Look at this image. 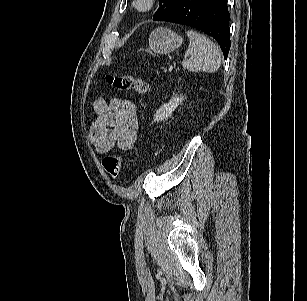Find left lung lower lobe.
Masks as SVG:
<instances>
[{"mask_svg":"<svg viewBox=\"0 0 307 301\" xmlns=\"http://www.w3.org/2000/svg\"><path fill=\"white\" fill-rule=\"evenodd\" d=\"M227 0H179L159 21L195 27L212 36L226 59L230 50Z\"/></svg>","mask_w":307,"mask_h":301,"instance_id":"1","label":"left lung lower lobe"}]
</instances>
